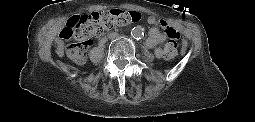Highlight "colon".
Returning a JSON list of instances; mask_svg holds the SVG:
<instances>
[{"label": "colon", "mask_w": 255, "mask_h": 122, "mask_svg": "<svg viewBox=\"0 0 255 122\" xmlns=\"http://www.w3.org/2000/svg\"><path fill=\"white\" fill-rule=\"evenodd\" d=\"M141 13L119 9L96 11L74 17L62 30L61 38L66 42L68 57L77 63H83L87 51L92 44V37L115 26H123L140 21ZM164 28L168 41L164 46L163 55L167 60L178 56V32L166 24Z\"/></svg>", "instance_id": "obj_1"}]
</instances>
